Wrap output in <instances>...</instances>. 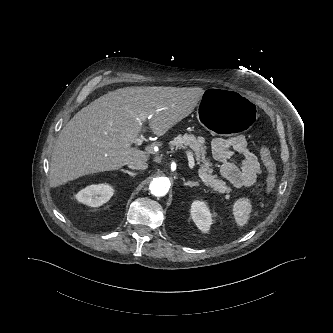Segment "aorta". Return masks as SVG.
I'll list each match as a JSON object with an SVG mask.
<instances>
[{
  "label": "aorta",
  "instance_id": "aorta-1",
  "mask_svg": "<svg viewBox=\"0 0 333 333\" xmlns=\"http://www.w3.org/2000/svg\"><path fill=\"white\" fill-rule=\"evenodd\" d=\"M170 187V182L163 177L154 178L149 185L151 194L157 197L165 196Z\"/></svg>",
  "mask_w": 333,
  "mask_h": 333
}]
</instances>
